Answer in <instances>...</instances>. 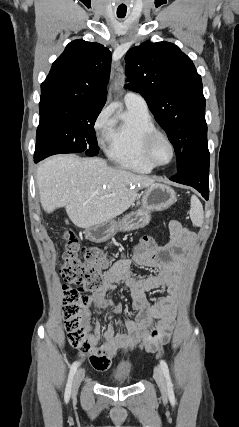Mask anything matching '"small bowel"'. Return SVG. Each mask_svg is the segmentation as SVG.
<instances>
[{
	"label": "small bowel",
	"instance_id": "1",
	"mask_svg": "<svg viewBox=\"0 0 239 427\" xmlns=\"http://www.w3.org/2000/svg\"><path fill=\"white\" fill-rule=\"evenodd\" d=\"M171 240L152 251H142L134 248L133 259L141 266L150 267L153 274L138 277L130 269V261L122 259L114 263L103 275L102 285L91 296L93 304L104 309L113 308L114 314L121 306L107 294L124 284L132 297V309L135 319L123 322V331L117 332L112 324H108L102 334L100 322H96L93 334L90 336L91 349L87 352L90 364L99 371L109 368L113 358L121 352H129L140 346L150 351L158 349L159 345L144 335L145 326L153 319L159 320L158 327L167 341L173 330L176 316L178 293V273L184 261V252L191 243V234L177 221L170 223ZM158 288H165L168 296L157 299L153 304L147 300L146 293Z\"/></svg>",
	"mask_w": 239,
	"mask_h": 427
}]
</instances>
